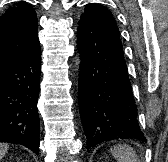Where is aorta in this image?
Returning <instances> with one entry per match:
<instances>
[{"mask_svg":"<svg viewBox=\"0 0 168 162\" xmlns=\"http://www.w3.org/2000/svg\"><path fill=\"white\" fill-rule=\"evenodd\" d=\"M80 58H79V56H77L76 58H75V63H76V66H77V70L79 69V64H80Z\"/></svg>","mask_w":168,"mask_h":162,"instance_id":"aorta-1","label":"aorta"}]
</instances>
